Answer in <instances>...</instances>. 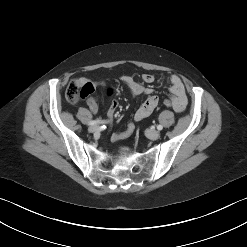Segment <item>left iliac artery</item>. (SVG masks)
<instances>
[{
  "mask_svg": "<svg viewBox=\"0 0 247 247\" xmlns=\"http://www.w3.org/2000/svg\"><path fill=\"white\" fill-rule=\"evenodd\" d=\"M157 129H158V130H162V129H163V126H162V125H158V126H157Z\"/></svg>",
  "mask_w": 247,
  "mask_h": 247,
  "instance_id": "44dca946",
  "label": "left iliac artery"
}]
</instances>
